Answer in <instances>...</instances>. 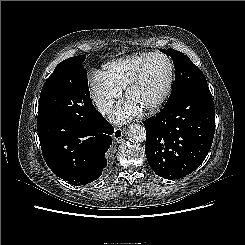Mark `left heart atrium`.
<instances>
[{
  "instance_id": "39dd6f15",
  "label": "left heart atrium",
  "mask_w": 245,
  "mask_h": 245,
  "mask_svg": "<svg viewBox=\"0 0 245 245\" xmlns=\"http://www.w3.org/2000/svg\"><path fill=\"white\" fill-rule=\"evenodd\" d=\"M141 110L138 105L128 100L112 111L111 118L117 123H123L136 117Z\"/></svg>"
}]
</instances>
